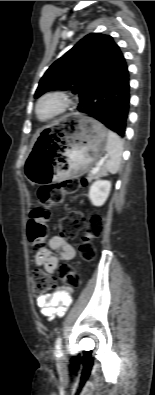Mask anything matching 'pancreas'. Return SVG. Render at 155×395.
<instances>
[{"mask_svg":"<svg viewBox=\"0 0 155 395\" xmlns=\"http://www.w3.org/2000/svg\"><path fill=\"white\" fill-rule=\"evenodd\" d=\"M104 174V171H97L96 173H91L88 175V179H97Z\"/></svg>","mask_w":155,"mask_h":395,"instance_id":"cf45deb5","label":"pancreas"}]
</instances>
